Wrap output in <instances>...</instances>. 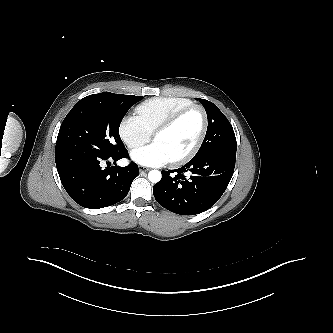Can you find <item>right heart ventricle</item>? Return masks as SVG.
I'll list each match as a JSON object with an SVG mask.
<instances>
[{
  "instance_id": "e07e8e85",
  "label": "right heart ventricle",
  "mask_w": 333,
  "mask_h": 333,
  "mask_svg": "<svg viewBox=\"0 0 333 333\" xmlns=\"http://www.w3.org/2000/svg\"><path fill=\"white\" fill-rule=\"evenodd\" d=\"M192 104V100L184 97H154L138 105L136 113L149 132L153 133L171 115Z\"/></svg>"
}]
</instances>
